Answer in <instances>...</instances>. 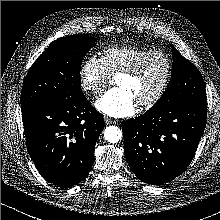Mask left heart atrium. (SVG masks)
<instances>
[{"instance_id":"left-heart-atrium-1","label":"left heart atrium","mask_w":220,"mask_h":220,"mask_svg":"<svg viewBox=\"0 0 220 220\" xmlns=\"http://www.w3.org/2000/svg\"><path fill=\"white\" fill-rule=\"evenodd\" d=\"M96 108L110 117H126L134 114L137 103L132 94L121 87L107 91L96 101Z\"/></svg>"}]
</instances>
